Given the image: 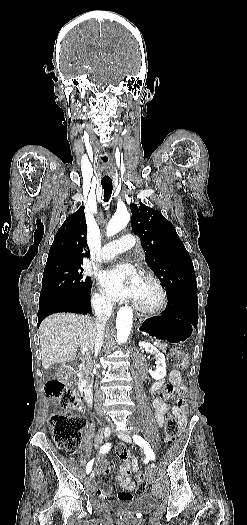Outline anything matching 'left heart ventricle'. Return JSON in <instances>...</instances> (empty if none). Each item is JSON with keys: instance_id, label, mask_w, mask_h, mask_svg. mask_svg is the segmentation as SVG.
<instances>
[{"instance_id": "b2bd125f", "label": "left heart ventricle", "mask_w": 247, "mask_h": 525, "mask_svg": "<svg viewBox=\"0 0 247 525\" xmlns=\"http://www.w3.org/2000/svg\"><path fill=\"white\" fill-rule=\"evenodd\" d=\"M117 267L120 270L135 269L134 257L131 254L120 255ZM135 298L146 304L156 303L160 299V292L150 279L143 277L140 278V291Z\"/></svg>"}]
</instances>
